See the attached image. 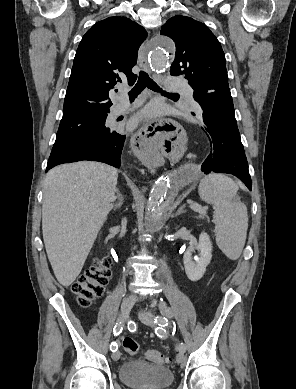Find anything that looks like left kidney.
<instances>
[{
    "label": "left kidney",
    "mask_w": 296,
    "mask_h": 389,
    "mask_svg": "<svg viewBox=\"0 0 296 389\" xmlns=\"http://www.w3.org/2000/svg\"><path fill=\"white\" fill-rule=\"evenodd\" d=\"M212 242L210 236L202 232L199 236V243L187 248L183 256V263L187 277L191 281L200 280L212 258ZM198 255H193L195 251Z\"/></svg>",
    "instance_id": "obj_1"
}]
</instances>
